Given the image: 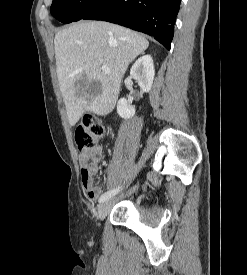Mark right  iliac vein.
Segmentation results:
<instances>
[{
  "label": "right iliac vein",
  "mask_w": 247,
  "mask_h": 275,
  "mask_svg": "<svg viewBox=\"0 0 247 275\" xmlns=\"http://www.w3.org/2000/svg\"><path fill=\"white\" fill-rule=\"evenodd\" d=\"M136 188H137L136 185L134 187H132L129 190V194L134 192ZM111 204H112V200H106L105 202H103L102 204L99 205V207H98V218L100 220H103L107 216V214L109 213V211L111 209Z\"/></svg>",
  "instance_id": "right-iliac-vein-1"
}]
</instances>
